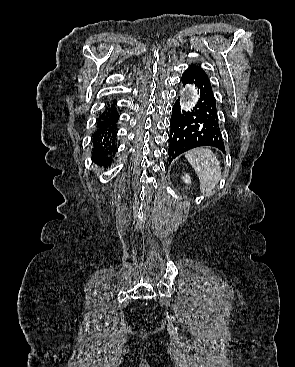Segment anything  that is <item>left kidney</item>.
<instances>
[{"label":"left kidney","instance_id":"1","mask_svg":"<svg viewBox=\"0 0 295 367\" xmlns=\"http://www.w3.org/2000/svg\"><path fill=\"white\" fill-rule=\"evenodd\" d=\"M182 180L183 182H185L186 184H191V178L188 174H185L183 177H182Z\"/></svg>","mask_w":295,"mask_h":367}]
</instances>
